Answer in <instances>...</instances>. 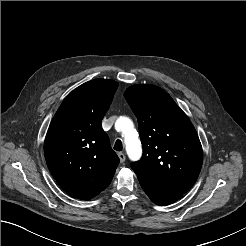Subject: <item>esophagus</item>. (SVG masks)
I'll list each match as a JSON object with an SVG mask.
<instances>
[{"mask_svg":"<svg viewBox=\"0 0 246 246\" xmlns=\"http://www.w3.org/2000/svg\"><path fill=\"white\" fill-rule=\"evenodd\" d=\"M118 157H119L121 163H123L125 161V159H126L125 154L122 153V152L118 153Z\"/></svg>","mask_w":246,"mask_h":246,"instance_id":"esophagus-1","label":"esophagus"}]
</instances>
